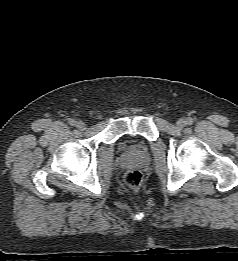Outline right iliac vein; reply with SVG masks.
I'll use <instances>...</instances> for the list:
<instances>
[{
  "mask_svg": "<svg viewBox=\"0 0 238 261\" xmlns=\"http://www.w3.org/2000/svg\"><path fill=\"white\" fill-rule=\"evenodd\" d=\"M76 127L79 129V130H84L86 125L83 121H77L76 123Z\"/></svg>",
  "mask_w": 238,
  "mask_h": 261,
  "instance_id": "obj_1",
  "label": "right iliac vein"
}]
</instances>
